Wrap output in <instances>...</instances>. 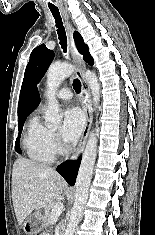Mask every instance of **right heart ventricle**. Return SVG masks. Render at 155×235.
<instances>
[{
  "label": "right heart ventricle",
  "mask_w": 155,
  "mask_h": 235,
  "mask_svg": "<svg viewBox=\"0 0 155 235\" xmlns=\"http://www.w3.org/2000/svg\"><path fill=\"white\" fill-rule=\"evenodd\" d=\"M50 130L32 117L27 125L23 145L27 156L37 163H50L54 159V149L49 141Z\"/></svg>",
  "instance_id": "1"
}]
</instances>
